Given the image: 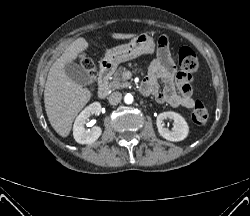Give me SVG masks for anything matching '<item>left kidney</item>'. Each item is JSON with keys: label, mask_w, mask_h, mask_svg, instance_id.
Here are the masks:
<instances>
[{"label": "left kidney", "mask_w": 250, "mask_h": 216, "mask_svg": "<svg viewBox=\"0 0 250 216\" xmlns=\"http://www.w3.org/2000/svg\"><path fill=\"white\" fill-rule=\"evenodd\" d=\"M167 118L174 121L173 131H170L164 127L163 121ZM156 123L159 134L168 141H182L188 136L189 126L184 117L176 112L168 111L160 113L157 116Z\"/></svg>", "instance_id": "5707ae66"}]
</instances>
